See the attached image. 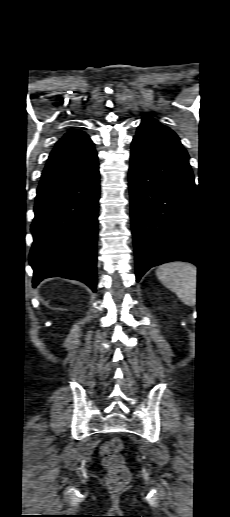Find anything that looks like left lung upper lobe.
<instances>
[{"label":"left lung upper lobe","instance_id":"obj_1","mask_svg":"<svg viewBox=\"0 0 230 517\" xmlns=\"http://www.w3.org/2000/svg\"><path fill=\"white\" fill-rule=\"evenodd\" d=\"M132 143L149 150L189 160V156L175 132L149 116L143 117Z\"/></svg>","mask_w":230,"mask_h":517}]
</instances>
